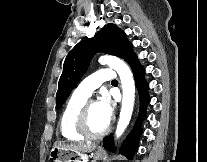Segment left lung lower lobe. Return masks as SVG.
Wrapping results in <instances>:
<instances>
[{
  "mask_svg": "<svg viewBox=\"0 0 207 162\" xmlns=\"http://www.w3.org/2000/svg\"><path fill=\"white\" fill-rule=\"evenodd\" d=\"M129 65L132 67L133 75L136 81V86H137L139 96H140V111L138 114L137 121L134 125L133 130L131 131V133L125 140L124 145L121 148V153L131 160L138 148V141H139V137L142 132L141 122L146 117L145 108L147 104L149 103V97L147 93L148 84L146 83L144 79V68L139 65L137 57H135L129 63ZM103 145L105 149L109 151H114V147L112 143V135H110L104 140Z\"/></svg>",
  "mask_w": 207,
  "mask_h": 162,
  "instance_id": "left-lung-lower-lobe-1",
  "label": "left lung lower lobe"
}]
</instances>
